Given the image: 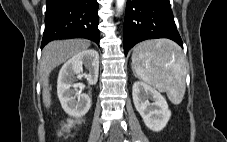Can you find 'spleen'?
I'll use <instances>...</instances> for the list:
<instances>
[{
  "label": "spleen",
  "instance_id": "obj_1",
  "mask_svg": "<svg viewBox=\"0 0 227 142\" xmlns=\"http://www.w3.org/2000/svg\"><path fill=\"white\" fill-rule=\"evenodd\" d=\"M132 68L139 79L166 92L172 103L182 102L186 89V61L176 43L167 39L139 43L133 49Z\"/></svg>",
  "mask_w": 227,
  "mask_h": 142
}]
</instances>
